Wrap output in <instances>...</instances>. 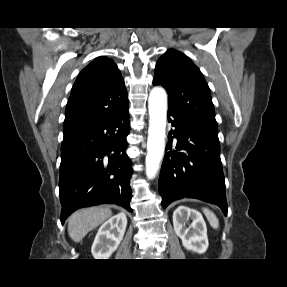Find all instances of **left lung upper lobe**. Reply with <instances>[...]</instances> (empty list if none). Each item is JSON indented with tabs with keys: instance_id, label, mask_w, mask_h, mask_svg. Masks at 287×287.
<instances>
[{
	"instance_id": "5c2ea615",
	"label": "left lung upper lobe",
	"mask_w": 287,
	"mask_h": 287,
	"mask_svg": "<svg viewBox=\"0 0 287 287\" xmlns=\"http://www.w3.org/2000/svg\"><path fill=\"white\" fill-rule=\"evenodd\" d=\"M153 85H162L167 90L168 109L218 138L210 89L200 70L186 55L169 49L161 56L155 67Z\"/></svg>"
}]
</instances>
